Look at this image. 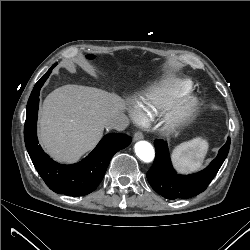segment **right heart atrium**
Instances as JSON below:
<instances>
[{
	"label": "right heart atrium",
	"mask_w": 250,
	"mask_h": 250,
	"mask_svg": "<svg viewBox=\"0 0 250 250\" xmlns=\"http://www.w3.org/2000/svg\"><path fill=\"white\" fill-rule=\"evenodd\" d=\"M130 116H131V118L134 119V120H136L138 117L141 116V113H140V111H139V109H138L137 106H135V107L131 110Z\"/></svg>",
	"instance_id": "d8ad5b80"
}]
</instances>
